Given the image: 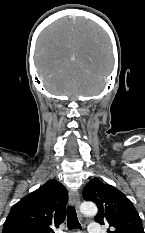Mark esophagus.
<instances>
[{
    "instance_id": "1",
    "label": "esophagus",
    "mask_w": 145,
    "mask_h": 233,
    "mask_svg": "<svg viewBox=\"0 0 145 233\" xmlns=\"http://www.w3.org/2000/svg\"><path fill=\"white\" fill-rule=\"evenodd\" d=\"M69 199L72 205L76 208L79 218L82 220L83 216L80 213V197L76 191L70 190L69 191Z\"/></svg>"
}]
</instances>
